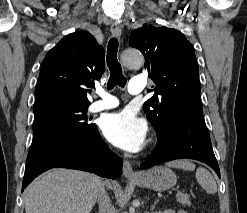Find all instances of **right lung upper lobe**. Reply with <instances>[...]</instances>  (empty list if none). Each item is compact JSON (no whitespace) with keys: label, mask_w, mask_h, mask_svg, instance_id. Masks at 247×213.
<instances>
[{"label":"right lung upper lobe","mask_w":247,"mask_h":213,"mask_svg":"<svg viewBox=\"0 0 247 213\" xmlns=\"http://www.w3.org/2000/svg\"><path fill=\"white\" fill-rule=\"evenodd\" d=\"M104 70V49L89 32L65 36L45 56L33 110L58 101L89 105L88 88Z\"/></svg>","instance_id":"cb5924a9"}]
</instances>
